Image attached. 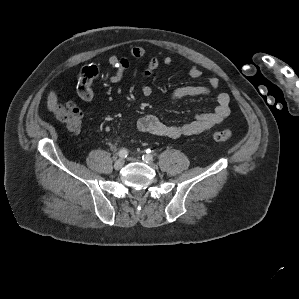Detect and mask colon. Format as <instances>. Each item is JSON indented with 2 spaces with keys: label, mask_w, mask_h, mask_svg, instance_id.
Returning a JSON list of instances; mask_svg holds the SVG:
<instances>
[{
  "label": "colon",
  "mask_w": 299,
  "mask_h": 299,
  "mask_svg": "<svg viewBox=\"0 0 299 299\" xmlns=\"http://www.w3.org/2000/svg\"><path fill=\"white\" fill-rule=\"evenodd\" d=\"M56 118L72 133H79L83 120V113L80 108L72 102L57 105L54 108ZM212 139L218 142L228 141L233 134L230 130H215L212 132Z\"/></svg>",
  "instance_id": "5ec220e1"
}]
</instances>
